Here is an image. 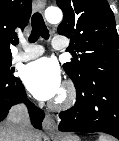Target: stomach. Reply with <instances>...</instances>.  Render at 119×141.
Returning a JSON list of instances; mask_svg holds the SVG:
<instances>
[{"label": "stomach", "mask_w": 119, "mask_h": 141, "mask_svg": "<svg viewBox=\"0 0 119 141\" xmlns=\"http://www.w3.org/2000/svg\"><path fill=\"white\" fill-rule=\"evenodd\" d=\"M54 141H81L80 138L73 134H65L55 138Z\"/></svg>", "instance_id": "obj_1"}]
</instances>
